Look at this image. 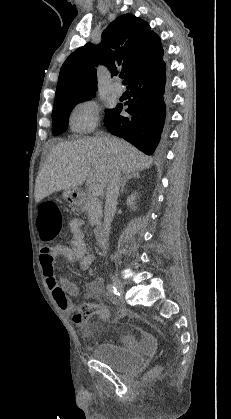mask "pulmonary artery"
<instances>
[{
    "mask_svg": "<svg viewBox=\"0 0 231 419\" xmlns=\"http://www.w3.org/2000/svg\"><path fill=\"white\" fill-rule=\"evenodd\" d=\"M123 91V87L119 83H114L111 87V93L114 97H121Z\"/></svg>",
    "mask_w": 231,
    "mask_h": 419,
    "instance_id": "1",
    "label": "pulmonary artery"
}]
</instances>
